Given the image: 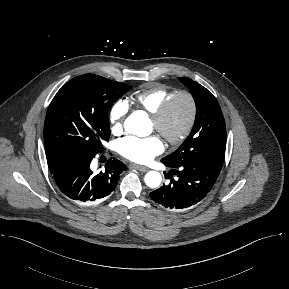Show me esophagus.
<instances>
[{"label": "esophagus", "mask_w": 289, "mask_h": 289, "mask_svg": "<svg viewBox=\"0 0 289 289\" xmlns=\"http://www.w3.org/2000/svg\"><path fill=\"white\" fill-rule=\"evenodd\" d=\"M130 166H131L132 168H135V169L141 171V172H147V171L149 170L148 167H146V166H141V165H137V164H131Z\"/></svg>", "instance_id": "1"}]
</instances>
